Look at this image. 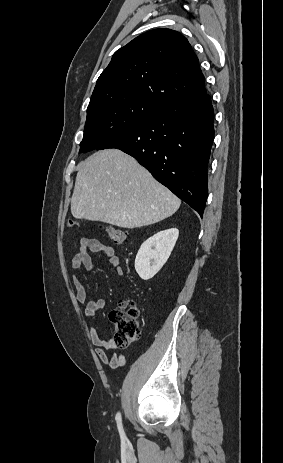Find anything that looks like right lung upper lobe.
I'll return each mask as SVG.
<instances>
[{
  "label": "right lung upper lobe",
  "mask_w": 283,
  "mask_h": 463,
  "mask_svg": "<svg viewBox=\"0 0 283 463\" xmlns=\"http://www.w3.org/2000/svg\"><path fill=\"white\" fill-rule=\"evenodd\" d=\"M124 91L162 107L206 92L189 42L170 29L148 31L117 50L99 76L92 98Z\"/></svg>",
  "instance_id": "1"
}]
</instances>
